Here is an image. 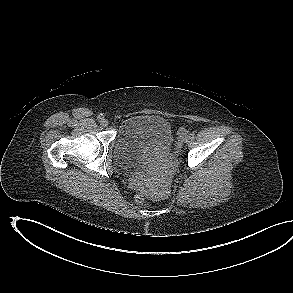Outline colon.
Listing matches in <instances>:
<instances>
[{
	"label": "colon",
	"instance_id": "1",
	"mask_svg": "<svg viewBox=\"0 0 293 293\" xmlns=\"http://www.w3.org/2000/svg\"><path fill=\"white\" fill-rule=\"evenodd\" d=\"M135 190H136V201L139 204H143L145 202V195L147 192V189L143 183H135Z\"/></svg>",
	"mask_w": 293,
	"mask_h": 293
}]
</instances>
